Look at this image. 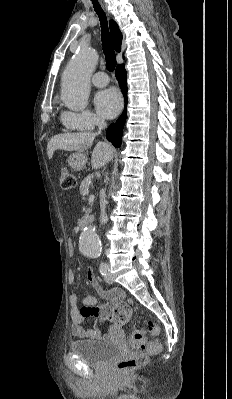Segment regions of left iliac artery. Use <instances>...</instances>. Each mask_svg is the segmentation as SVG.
<instances>
[{"label": "left iliac artery", "mask_w": 232, "mask_h": 399, "mask_svg": "<svg viewBox=\"0 0 232 399\" xmlns=\"http://www.w3.org/2000/svg\"><path fill=\"white\" fill-rule=\"evenodd\" d=\"M93 256H95V257H100L101 254L95 253V254H93ZM109 270H110V269H109V265H108L107 263L102 262V263L100 264V273H101V274L106 275V274L109 272Z\"/></svg>", "instance_id": "left-iliac-artery-1"}]
</instances>
